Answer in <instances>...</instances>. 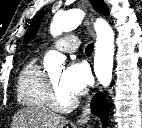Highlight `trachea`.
I'll return each instance as SVG.
<instances>
[{"label": "trachea", "instance_id": "1", "mask_svg": "<svg viewBox=\"0 0 142 128\" xmlns=\"http://www.w3.org/2000/svg\"><path fill=\"white\" fill-rule=\"evenodd\" d=\"M92 51H93V43H90L87 45L86 47V54L87 55H91L92 54Z\"/></svg>", "mask_w": 142, "mask_h": 128}]
</instances>
